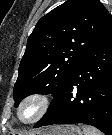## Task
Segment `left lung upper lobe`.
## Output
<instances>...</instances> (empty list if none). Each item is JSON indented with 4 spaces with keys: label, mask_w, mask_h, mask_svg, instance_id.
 <instances>
[{
    "label": "left lung upper lobe",
    "mask_w": 112,
    "mask_h": 135,
    "mask_svg": "<svg viewBox=\"0 0 112 135\" xmlns=\"http://www.w3.org/2000/svg\"><path fill=\"white\" fill-rule=\"evenodd\" d=\"M111 25L112 16L99 0H67L43 16L19 66L15 107L34 93L55 97Z\"/></svg>",
    "instance_id": "obj_1"
}]
</instances>
